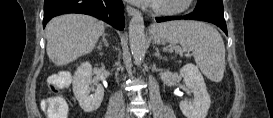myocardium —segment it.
<instances>
[{"label": "myocardium", "instance_id": "f54148a6", "mask_svg": "<svg viewBox=\"0 0 273 118\" xmlns=\"http://www.w3.org/2000/svg\"><path fill=\"white\" fill-rule=\"evenodd\" d=\"M191 2L192 0H180L179 3L174 5H167L159 2L154 5L153 9L159 15L170 16L185 11Z\"/></svg>", "mask_w": 273, "mask_h": 118}]
</instances>
